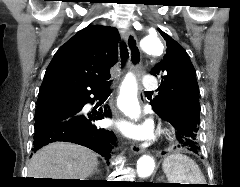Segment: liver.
<instances>
[{
  "label": "liver",
  "mask_w": 240,
  "mask_h": 187,
  "mask_svg": "<svg viewBox=\"0 0 240 187\" xmlns=\"http://www.w3.org/2000/svg\"><path fill=\"white\" fill-rule=\"evenodd\" d=\"M97 165V155L88 148L69 142H54L32 156L28 178L85 180Z\"/></svg>",
  "instance_id": "obj_1"
}]
</instances>
